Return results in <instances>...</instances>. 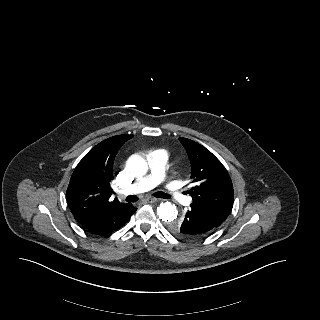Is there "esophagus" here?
<instances>
[{
	"label": "esophagus",
	"mask_w": 320,
	"mask_h": 320,
	"mask_svg": "<svg viewBox=\"0 0 320 320\" xmlns=\"http://www.w3.org/2000/svg\"><path fill=\"white\" fill-rule=\"evenodd\" d=\"M158 199L157 198H154V197H148L145 199L146 202L148 203H154L156 202Z\"/></svg>",
	"instance_id": "obj_1"
}]
</instances>
